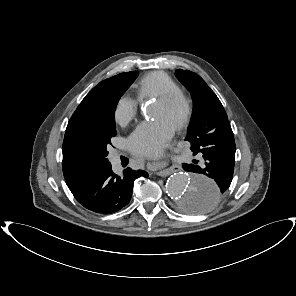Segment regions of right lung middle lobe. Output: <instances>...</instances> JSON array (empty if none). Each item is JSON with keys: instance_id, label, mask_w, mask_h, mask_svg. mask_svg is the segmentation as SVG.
Wrapping results in <instances>:
<instances>
[{"instance_id": "obj_1", "label": "right lung middle lobe", "mask_w": 296, "mask_h": 296, "mask_svg": "<svg viewBox=\"0 0 296 296\" xmlns=\"http://www.w3.org/2000/svg\"><path fill=\"white\" fill-rule=\"evenodd\" d=\"M137 76L138 71L122 73L85 107L84 127L69 145V154L76 163L101 167L109 163L107 146L116 135L117 102Z\"/></svg>"}]
</instances>
